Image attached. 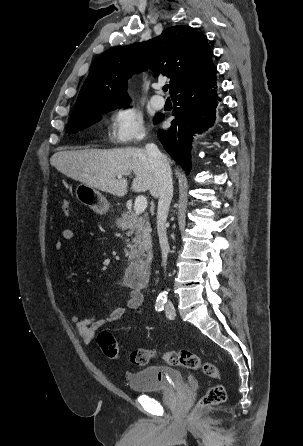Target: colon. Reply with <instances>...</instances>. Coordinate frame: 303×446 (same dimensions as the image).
Here are the masks:
<instances>
[{
    "label": "colon",
    "instance_id": "obj_1",
    "mask_svg": "<svg viewBox=\"0 0 303 446\" xmlns=\"http://www.w3.org/2000/svg\"><path fill=\"white\" fill-rule=\"evenodd\" d=\"M62 210L65 215L70 213L68 201H62ZM97 343L101 350L110 359H117L119 356V345L116 338L109 332L103 331L97 337ZM157 357L155 350L137 349L131 352L130 361L137 366H144ZM163 360L172 366H182L187 369L201 370L203 374L211 379L220 380L221 373L212 363L202 360L197 354L189 350H178L166 352L162 356ZM226 390L222 383L218 382L211 386L208 391L199 399L196 409L208 408L225 401Z\"/></svg>",
    "mask_w": 303,
    "mask_h": 446
}]
</instances>
